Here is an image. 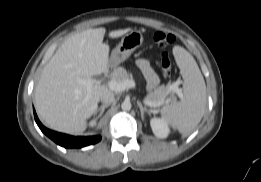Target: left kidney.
Segmentation results:
<instances>
[{
    "label": "left kidney",
    "instance_id": "obj_1",
    "mask_svg": "<svg viewBox=\"0 0 261 182\" xmlns=\"http://www.w3.org/2000/svg\"><path fill=\"white\" fill-rule=\"evenodd\" d=\"M150 125L154 135L158 138H167L170 133V128L167 122L163 119L152 118Z\"/></svg>",
    "mask_w": 261,
    "mask_h": 182
}]
</instances>
